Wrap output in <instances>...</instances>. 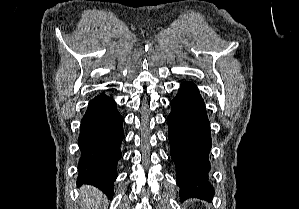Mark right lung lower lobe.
<instances>
[{
    "label": "right lung lower lobe",
    "instance_id": "obj_1",
    "mask_svg": "<svg viewBox=\"0 0 299 209\" xmlns=\"http://www.w3.org/2000/svg\"><path fill=\"white\" fill-rule=\"evenodd\" d=\"M122 124L123 117L112 98L100 94L90 101L81 120L78 139L81 151L78 185L90 184L109 197L114 195L113 183L124 138Z\"/></svg>",
    "mask_w": 299,
    "mask_h": 209
}]
</instances>
